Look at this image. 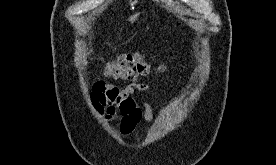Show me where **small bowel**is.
Segmentation results:
<instances>
[{
    "label": "small bowel",
    "mask_w": 276,
    "mask_h": 165,
    "mask_svg": "<svg viewBox=\"0 0 276 165\" xmlns=\"http://www.w3.org/2000/svg\"><path fill=\"white\" fill-rule=\"evenodd\" d=\"M166 69V66L160 65L156 72L162 73ZM137 92L154 93L150 85L137 79L123 87L97 81L92 87L91 103L108 121L118 122L122 134L129 135L141 121L149 124L153 119L151 106L146 101L138 100Z\"/></svg>",
    "instance_id": "small-bowel-1"
}]
</instances>
